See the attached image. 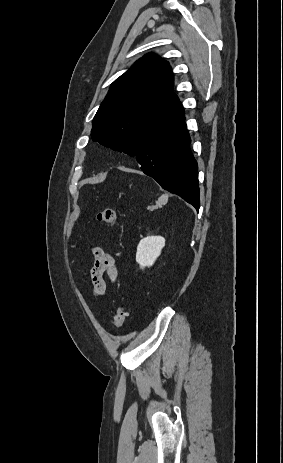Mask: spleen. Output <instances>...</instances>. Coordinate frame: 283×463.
Returning <instances> with one entry per match:
<instances>
[{
	"label": "spleen",
	"mask_w": 283,
	"mask_h": 463,
	"mask_svg": "<svg viewBox=\"0 0 283 463\" xmlns=\"http://www.w3.org/2000/svg\"><path fill=\"white\" fill-rule=\"evenodd\" d=\"M168 199V195L167 194H164L162 195L159 200H158V204H162L163 202H166Z\"/></svg>",
	"instance_id": "obj_1"
}]
</instances>
